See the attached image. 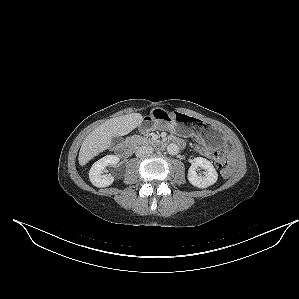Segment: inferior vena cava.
Returning <instances> with one entry per match:
<instances>
[{"label":"inferior vena cava","mask_w":299,"mask_h":299,"mask_svg":"<svg viewBox=\"0 0 299 299\" xmlns=\"http://www.w3.org/2000/svg\"><path fill=\"white\" fill-rule=\"evenodd\" d=\"M153 153V148L149 145H143L137 148L136 156L137 157H145Z\"/></svg>","instance_id":"1"}]
</instances>
